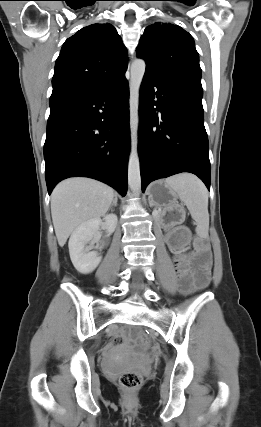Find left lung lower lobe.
<instances>
[{"instance_id": "obj_1", "label": "left lung lower lobe", "mask_w": 261, "mask_h": 427, "mask_svg": "<svg viewBox=\"0 0 261 427\" xmlns=\"http://www.w3.org/2000/svg\"><path fill=\"white\" fill-rule=\"evenodd\" d=\"M202 87L145 74L140 90L139 156L142 191L156 179L197 175L210 191Z\"/></svg>"}]
</instances>
